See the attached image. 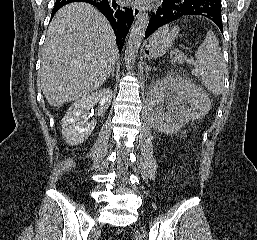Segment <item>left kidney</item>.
<instances>
[{"label": "left kidney", "instance_id": "5707ae66", "mask_svg": "<svg viewBox=\"0 0 257 240\" xmlns=\"http://www.w3.org/2000/svg\"><path fill=\"white\" fill-rule=\"evenodd\" d=\"M151 126L161 132H177L190 120L201 118L209 108L207 94L191 81L168 76L154 82L145 99Z\"/></svg>", "mask_w": 257, "mask_h": 240}]
</instances>
